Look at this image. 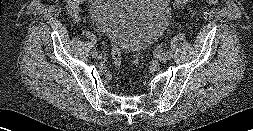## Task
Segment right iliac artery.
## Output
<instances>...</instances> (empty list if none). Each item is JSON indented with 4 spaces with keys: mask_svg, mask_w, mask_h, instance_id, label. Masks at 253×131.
<instances>
[{
    "mask_svg": "<svg viewBox=\"0 0 253 131\" xmlns=\"http://www.w3.org/2000/svg\"><path fill=\"white\" fill-rule=\"evenodd\" d=\"M98 49H99V46H98L97 44H94V45L92 46V52H93V53H96Z\"/></svg>",
    "mask_w": 253,
    "mask_h": 131,
    "instance_id": "1",
    "label": "right iliac artery"
}]
</instances>
